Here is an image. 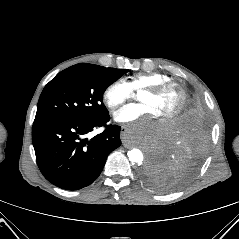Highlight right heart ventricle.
Listing matches in <instances>:
<instances>
[{
    "instance_id": "1",
    "label": "right heart ventricle",
    "mask_w": 239,
    "mask_h": 239,
    "mask_svg": "<svg viewBox=\"0 0 239 239\" xmlns=\"http://www.w3.org/2000/svg\"><path fill=\"white\" fill-rule=\"evenodd\" d=\"M170 77L158 73V72H152V73H138L129 78L127 81L128 85L130 86L132 91H141L147 87L158 85L160 83L168 82L170 81Z\"/></svg>"
}]
</instances>
